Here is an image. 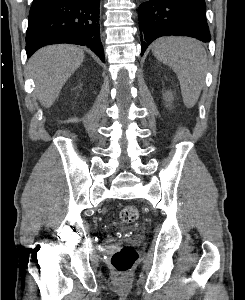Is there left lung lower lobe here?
I'll list each match as a JSON object with an SVG mask.
<instances>
[{"label": "left lung lower lobe", "mask_w": 245, "mask_h": 300, "mask_svg": "<svg viewBox=\"0 0 245 300\" xmlns=\"http://www.w3.org/2000/svg\"><path fill=\"white\" fill-rule=\"evenodd\" d=\"M141 56L161 36H190L209 42L204 0H150L138 8Z\"/></svg>", "instance_id": "obj_1"}]
</instances>
